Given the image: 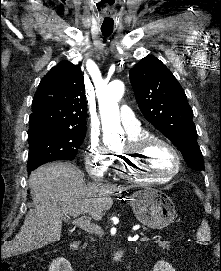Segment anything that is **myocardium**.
Here are the masks:
<instances>
[{"label":"myocardium","instance_id":"1","mask_svg":"<svg viewBox=\"0 0 221 271\" xmlns=\"http://www.w3.org/2000/svg\"><path fill=\"white\" fill-rule=\"evenodd\" d=\"M167 140L170 139L165 136L164 138L137 137L136 140L131 142L133 145H124V150H129V155L133 156L147 155V150H166L165 154L171 159L168 165L172 170H174V172H171L169 169H166L164 172H153L151 169H149L147 172H145L143 170V165H140L141 163L139 161H132L131 158H119L118 161L112 162L114 171H121V173H116L115 177L121 178L123 176L124 178H154V183L152 184H164L161 183V178L156 177H164L165 175H169L170 177L175 175L178 177L179 173L182 171L179 169L180 165H177L179 156H175L177 154L176 150L174 149L175 145H170Z\"/></svg>","mask_w":221,"mask_h":271}]
</instances>
